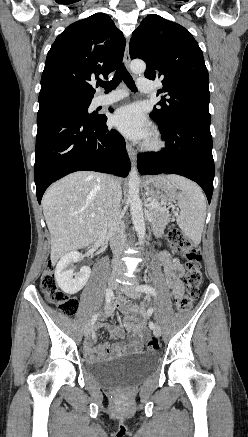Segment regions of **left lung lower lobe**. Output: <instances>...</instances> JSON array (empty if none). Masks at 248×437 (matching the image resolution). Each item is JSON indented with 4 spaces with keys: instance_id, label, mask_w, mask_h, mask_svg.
I'll return each instance as SVG.
<instances>
[{
    "instance_id": "1",
    "label": "left lung lower lobe",
    "mask_w": 248,
    "mask_h": 437,
    "mask_svg": "<svg viewBox=\"0 0 248 437\" xmlns=\"http://www.w3.org/2000/svg\"><path fill=\"white\" fill-rule=\"evenodd\" d=\"M210 118L208 113H194L178 115L167 127L157 122L166 142L165 149L138 154L139 172L142 175L172 173L187 177L202 187L210 203L214 179Z\"/></svg>"
}]
</instances>
